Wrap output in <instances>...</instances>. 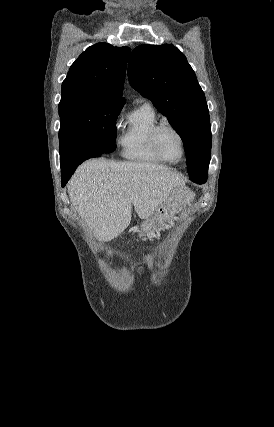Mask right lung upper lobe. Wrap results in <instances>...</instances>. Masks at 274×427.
<instances>
[{
    "label": "right lung upper lobe",
    "mask_w": 274,
    "mask_h": 427,
    "mask_svg": "<svg viewBox=\"0 0 274 427\" xmlns=\"http://www.w3.org/2000/svg\"><path fill=\"white\" fill-rule=\"evenodd\" d=\"M130 48L105 42L90 46L70 67L62 83L59 108L89 101H120Z\"/></svg>",
    "instance_id": "obj_1"
}]
</instances>
